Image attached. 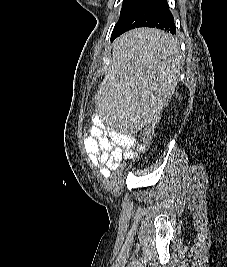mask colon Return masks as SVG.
Wrapping results in <instances>:
<instances>
[{
    "mask_svg": "<svg viewBox=\"0 0 227 267\" xmlns=\"http://www.w3.org/2000/svg\"><path fill=\"white\" fill-rule=\"evenodd\" d=\"M161 113L158 115H152L151 120L148 121L147 125H145V130H143L144 139L143 142H138L137 149H144L146 140H155V132L158 130V125H161ZM139 161L138 153H131V155H126V160L122 162V170L123 171H134V165Z\"/></svg>",
    "mask_w": 227,
    "mask_h": 267,
    "instance_id": "colon-1",
    "label": "colon"
}]
</instances>
